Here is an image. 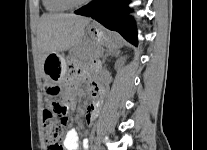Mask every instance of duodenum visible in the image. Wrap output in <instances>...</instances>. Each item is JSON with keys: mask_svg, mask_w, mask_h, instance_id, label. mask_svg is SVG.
<instances>
[{"mask_svg": "<svg viewBox=\"0 0 207 150\" xmlns=\"http://www.w3.org/2000/svg\"><path fill=\"white\" fill-rule=\"evenodd\" d=\"M92 90H93V93H95V92L98 90V84L95 83V84L93 85Z\"/></svg>", "mask_w": 207, "mask_h": 150, "instance_id": "1", "label": "duodenum"}]
</instances>
